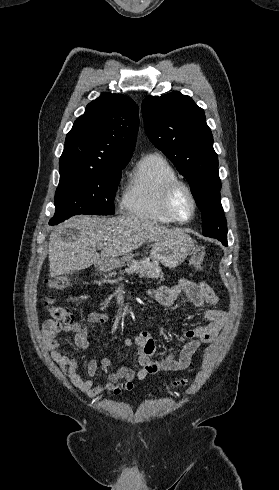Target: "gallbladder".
Wrapping results in <instances>:
<instances>
[{
	"label": "gallbladder",
	"mask_w": 279,
	"mask_h": 490,
	"mask_svg": "<svg viewBox=\"0 0 279 490\" xmlns=\"http://www.w3.org/2000/svg\"><path fill=\"white\" fill-rule=\"evenodd\" d=\"M64 280H67V282H69L68 278H64Z\"/></svg>",
	"instance_id": "gallbladder-1"
}]
</instances>
